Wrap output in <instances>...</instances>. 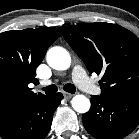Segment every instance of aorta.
<instances>
[{"instance_id": "762f6f07", "label": "aorta", "mask_w": 139, "mask_h": 139, "mask_svg": "<svg viewBox=\"0 0 139 139\" xmlns=\"http://www.w3.org/2000/svg\"><path fill=\"white\" fill-rule=\"evenodd\" d=\"M48 65L55 70H67L71 65V57L68 51L62 47H52L46 55ZM73 109L78 113L89 111L90 100L81 94L75 95L71 101Z\"/></svg>"}]
</instances>
